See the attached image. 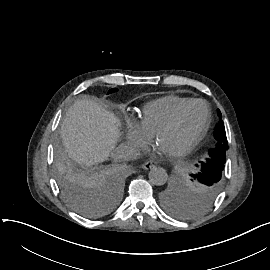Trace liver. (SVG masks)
Listing matches in <instances>:
<instances>
[{"mask_svg":"<svg viewBox=\"0 0 270 270\" xmlns=\"http://www.w3.org/2000/svg\"><path fill=\"white\" fill-rule=\"evenodd\" d=\"M117 119L91 100H77L62 120L61 136L69 156L80 164L104 161L117 143Z\"/></svg>","mask_w":270,"mask_h":270,"instance_id":"liver-1","label":"liver"}]
</instances>
